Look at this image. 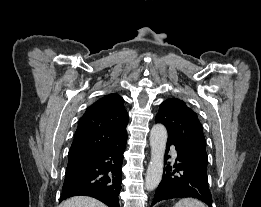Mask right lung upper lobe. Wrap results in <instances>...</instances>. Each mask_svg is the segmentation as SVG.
Here are the masks:
<instances>
[{
    "instance_id": "1",
    "label": "right lung upper lobe",
    "mask_w": 261,
    "mask_h": 207,
    "mask_svg": "<svg viewBox=\"0 0 261 207\" xmlns=\"http://www.w3.org/2000/svg\"><path fill=\"white\" fill-rule=\"evenodd\" d=\"M118 94H109L80 118L68 160L118 146L127 141L128 113Z\"/></svg>"
}]
</instances>
